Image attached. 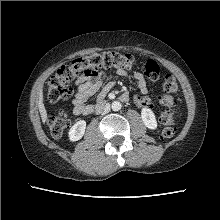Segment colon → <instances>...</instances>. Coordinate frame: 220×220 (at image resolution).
<instances>
[{
  "label": "colon",
  "mask_w": 220,
  "mask_h": 220,
  "mask_svg": "<svg viewBox=\"0 0 220 220\" xmlns=\"http://www.w3.org/2000/svg\"><path fill=\"white\" fill-rule=\"evenodd\" d=\"M136 60L130 54L118 52L93 53L72 60L69 64L62 65L51 77L48 84V100L50 103H58L69 99L73 94L71 81L79 74H92L96 70L121 68L131 70L135 67ZM144 74L152 81L159 78L160 66L154 60H148L144 64ZM178 84L175 77L167 74L162 83V94L159 98L163 109L159 120L162 124L161 137L170 138L175 133V94ZM49 127L53 137H61L69 125V118L65 111L56 110L49 114Z\"/></svg>",
  "instance_id": "5ec220e1"
}]
</instances>
